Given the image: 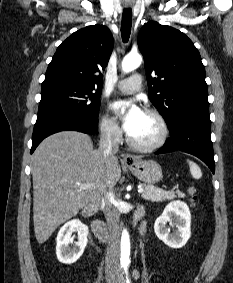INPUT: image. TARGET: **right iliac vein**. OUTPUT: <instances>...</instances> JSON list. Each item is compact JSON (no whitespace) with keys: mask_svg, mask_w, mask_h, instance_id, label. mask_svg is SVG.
I'll use <instances>...</instances> for the list:
<instances>
[{"mask_svg":"<svg viewBox=\"0 0 233 283\" xmlns=\"http://www.w3.org/2000/svg\"><path fill=\"white\" fill-rule=\"evenodd\" d=\"M106 280H107V283H114V281H115V276H114V274H113V273H109V274L107 275Z\"/></svg>","mask_w":233,"mask_h":283,"instance_id":"right-iliac-vein-1","label":"right iliac vein"}]
</instances>
